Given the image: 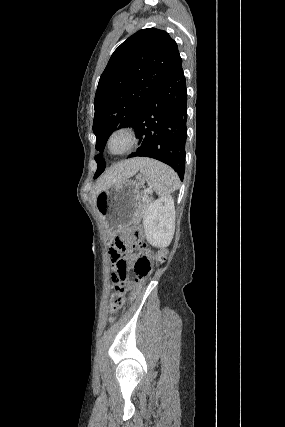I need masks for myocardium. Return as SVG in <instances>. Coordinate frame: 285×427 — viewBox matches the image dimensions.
Here are the masks:
<instances>
[{"label":"myocardium","instance_id":"obj_1","mask_svg":"<svg viewBox=\"0 0 285 427\" xmlns=\"http://www.w3.org/2000/svg\"><path fill=\"white\" fill-rule=\"evenodd\" d=\"M119 135H124L128 139V144L126 148L122 151H114L111 147L112 140ZM138 143V137L135 129L130 125H121L113 129L106 142L108 151L113 155H124L129 153Z\"/></svg>","mask_w":285,"mask_h":427}]
</instances>
